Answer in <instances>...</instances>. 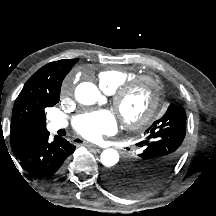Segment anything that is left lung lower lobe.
Listing matches in <instances>:
<instances>
[{
	"instance_id": "obj_1",
	"label": "left lung lower lobe",
	"mask_w": 216,
	"mask_h": 216,
	"mask_svg": "<svg viewBox=\"0 0 216 216\" xmlns=\"http://www.w3.org/2000/svg\"><path fill=\"white\" fill-rule=\"evenodd\" d=\"M127 172V167H126V162L123 163V165L120 166L119 169L117 170H111L109 172L106 173V175L103 177L105 184L114 192L122 195V196H126L125 194H123L122 192H120L115 186L114 184L111 183V181L116 180L118 178H120L123 174H125Z\"/></svg>"
}]
</instances>
